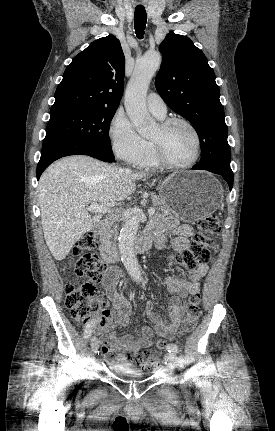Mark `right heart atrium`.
<instances>
[{"instance_id":"obj_1","label":"right heart atrium","mask_w":275,"mask_h":431,"mask_svg":"<svg viewBox=\"0 0 275 431\" xmlns=\"http://www.w3.org/2000/svg\"><path fill=\"white\" fill-rule=\"evenodd\" d=\"M109 137L114 153L127 163L135 164L147 150V142L122 111L113 116L109 125Z\"/></svg>"}]
</instances>
